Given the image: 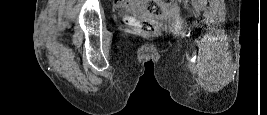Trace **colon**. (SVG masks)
I'll return each mask as SVG.
<instances>
[{
	"mask_svg": "<svg viewBox=\"0 0 267 115\" xmlns=\"http://www.w3.org/2000/svg\"><path fill=\"white\" fill-rule=\"evenodd\" d=\"M173 0H149L148 9L149 11L158 16L161 12V7L172 3ZM123 20L128 22L130 17L127 13L124 14ZM136 31L138 34L144 37L156 36L160 32V28L157 24L151 21L140 20L136 22Z\"/></svg>",
	"mask_w": 267,
	"mask_h": 115,
	"instance_id": "5ec220e1",
	"label": "colon"
}]
</instances>
